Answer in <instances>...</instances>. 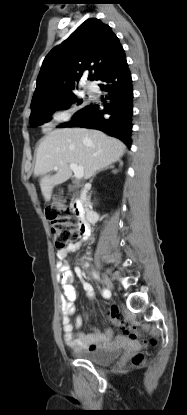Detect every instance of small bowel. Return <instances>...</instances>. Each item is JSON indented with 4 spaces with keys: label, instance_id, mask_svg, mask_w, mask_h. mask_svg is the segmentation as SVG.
<instances>
[{
    "label": "small bowel",
    "instance_id": "c3829d8e",
    "mask_svg": "<svg viewBox=\"0 0 187 415\" xmlns=\"http://www.w3.org/2000/svg\"><path fill=\"white\" fill-rule=\"evenodd\" d=\"M80 248L81 244H74L64 250H58L56 253L59 282L63 287L61 310L63 314L62 328L64 341L67 346L75 350H99L108 347L115 342L122 341L124 338L119 337L114 341L111 338L110 331H107L106 334H102L96 330L88 334L83 332L75 334L74 328H79L82 326L84 317L81 315L77 316L75 326L71 323L70 316L75 311L74 301L76 300L77 292L76 288L73 285L74 273L70 269L67 257L70 252H75ZM74 272L79 278L85 277V272L79 266L75 267ZM82 287L89 299H93L95 297L93 286L89 282L82 280Z\"/></svg>",
    "mask_w": 187,
    "mask_h": 415
}]
</instances>
